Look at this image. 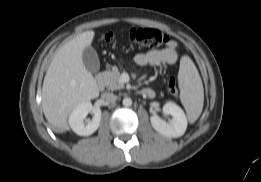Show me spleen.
Listing matches in <instances>:
<instances>
[{
    "label": "spleen",
    "mask_w": 261,
    "mask_h": 182,
    "mask_svg": "<svg viewBox=\"0 0 261 182\" xmlns=\"http://www.w3.org/2000/svg\"><path fill=\"white\" fill-rule=\"evenodd\" d=\"M178 82L181 102L190 123H194L202 112L204 89L199 72L188 56L181 58Z\"/></svg>",
    "instance_id": "1"
}]
</instances>
